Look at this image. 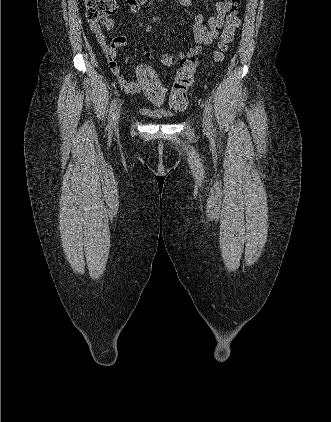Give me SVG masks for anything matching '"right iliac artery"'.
Returning a JSON list of instances; mask_svg holds the SVG:
<instances>
[{"label": "right iliac artery", "mask_w": 331, "mask_h": 422, "mask_svg": "<svg viewBox=\"0 0 331 422\" xmlns=\"http://www.w3.org/2000/svg\"><path fill=\"white\" fill-rule=\"evenodd\" d=\"M116 105H117V99H114L110 105V110H109V118H108V125H107L108 130H111L113 127Z\"/></svg>", "instance_id": "right-iliac-artery-1"}]
</instances>
